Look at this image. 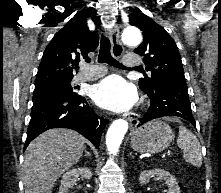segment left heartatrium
<instances>
[{"instance_id": "1", "label": "left heart atrium", "mask_w": 221, "mask_h": 193, "mask_svg": "<svg viewBox=\"0 0 221 193\" xmlns=\"http://www.w3.org/2000/svg\"><path fill=\"white\" fill-rule=\"evenodd\" d=\"M92 99L104 109L121 113L133 107L137 95L131 84L122 77L113 75L93 87Z\"/></svg>"}]
</instances>
